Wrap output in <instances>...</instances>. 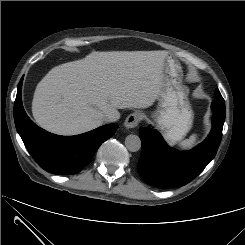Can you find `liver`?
Wrapping results in <instances>:
<instances>
[{"label":"liver","instance_id":"1","mask_svg":"<svg viewBox=\"0 0 245 245\" xmlns=\"http://www.w3.org/2000/svg\"><path fill=\"white\" fill-rule=\"evenodd\" d=\"M167 51H93L52 68L37 84L32 114L43 129L77 135L111 110L148 108L160 98Z\"/></svg>","mask_w":245,"mask_h":245}]
</instances>
